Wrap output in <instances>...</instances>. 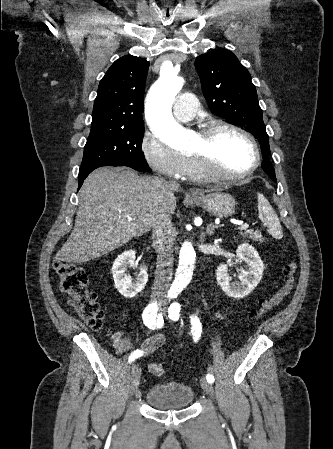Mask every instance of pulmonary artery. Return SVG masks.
I'll use <instances>...</instances> for the list:
<instances>
[{
    "instance_id": "1",
    "label": "pulmonary artery",
    "mask_w": 333,
    "mask_h": 449,
    "mask_svg": "<svg viewBox=\"0 0 333 449\" xmlns=\"http://www.w3.org/2000/svg\"><path fill=\"white\" fill-rule=\"evenodd\" d=\"M173 113L176 119L182 122L192 120L197 113L196 97L192 93L179 95L174 104Z\"/></svg>"
}]
</instances>
